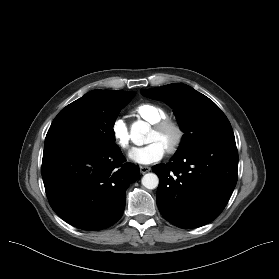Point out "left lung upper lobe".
I'll return each mask as SVG.
<instances>
[{
    "instance_id": "left-lung-upper-lobe-1",
    "label": "left lung upper lobe",
    "mask_w": 279,
    "mask_h": 279,
    "mask_svg": "<svg viewBox=\"0 0 279 279\" xmlns=\"http://www.w3.org/2000/svg\"><path fill=\"white\" fill-rule=\"evenodd\" d=\"M141 94L168 103L184 132L175 155H183L194 147L215 141H235L232 127L221 109L208 97L182 83L153 89Z\"/></svg>"
}]
</instances>
